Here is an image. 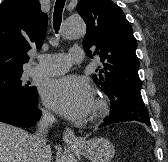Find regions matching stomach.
I'll use <instances>...</instances> for the list:
<instances>
[{"instance_id": "0dacf381", "label": "stomach", "mask_w": 168, "mask_h": 162, "mask_svg": "<svg viewBox=\"0 0 168 162\" xmlns=\"http://www.w3.org/2000/svg\"><path fill=\"white\" fill-rule=\"evenodd\" d=\"M77 150L92 162H110L115 154L113 144L102 137L85 141Z\"/></svg>"}]
</instances>
